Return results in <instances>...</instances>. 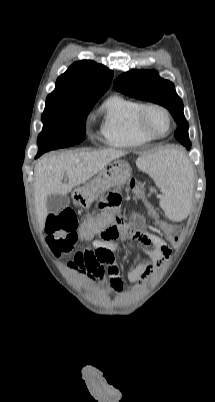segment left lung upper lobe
<instances>
[{
	"label": "left lung upper lobe",
	"instance_id": "5c2ea615",
	"mask_svg": "<svg viewBox=\"0 0 215 402\" xmlns=\"http://www.w3.org/2000/svg\"><path fill=\"white\" fill-rule=\"evenodd\" d=\"M115 90L140 100L150 101L167 108L173 115L178 128L176 139L191 147L188 122L183 114V102L176 94L174 84L159 77L154 70H132L120 75L114 82Z\"/></svg>",
	"mask_w": 215,
	"mask_h": 402
}]
</instances>
